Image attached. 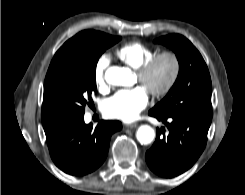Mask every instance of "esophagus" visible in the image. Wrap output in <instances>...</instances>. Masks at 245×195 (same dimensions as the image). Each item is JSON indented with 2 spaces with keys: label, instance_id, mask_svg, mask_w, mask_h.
I'll list each match as a JSON object with an SVG mask.
<instances>
[{
  "label": "esophagus",
  "instance_id": "esophagus-1",
  "mask_svg": "<svg viewBox=\"0 0 245 195\" xmlns=\"http://www.w3.org/2000/svg\"><path fill=\"white\" fill-rule=\"evenodd\" d=\"M127 128H134V127H137L138 124L137 123H131V124H126L125 125Z\"/></svg>",
  "mask_w": 245,
  "mask_h": 195
}]
</instances>
